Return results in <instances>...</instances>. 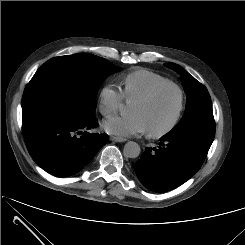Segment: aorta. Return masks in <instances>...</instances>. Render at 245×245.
I'll use <instances>...</instances> for the list:
<instances>
[{
  "label": "aorta",
  "instance_id": "obj_1",
  "mask_svg": "<svg viewBox=\"0 0 245 245\" xmlns=\"http://www.w3.org/2000/svg\"><path fill=\"white\" fill-rule=\"evenodd\" d=\"M141 152L140 146L133 141H129L125 144L123 154L127 158H136Z\"/></svg>",
  "mask_w": 245,
  "mask_h": 245
}]
</instances>
